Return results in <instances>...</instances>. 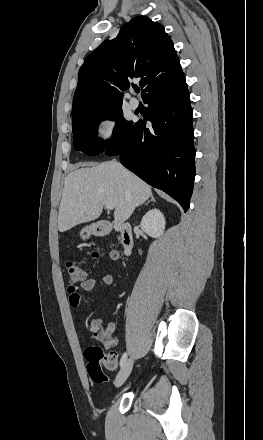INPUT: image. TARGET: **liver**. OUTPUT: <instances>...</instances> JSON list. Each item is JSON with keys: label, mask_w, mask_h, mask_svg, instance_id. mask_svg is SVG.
<instances>
[{"label": "liver", "mask_w": 263, "mask_h": 440, "mask_svg": "<svg viewBox=\"0 0 263 440\" xmlns=\"http://www.w3.org/2000/svg\"><path fill=\"white\" fill-rule=\"evenodd\" d=\"M151 196V187L117 161L76 169L65 178L58 229L65 232L97 219L107 201L115 205V222L124 223Z\"/></svg>", "instance_id": "1"}]
</instances>
